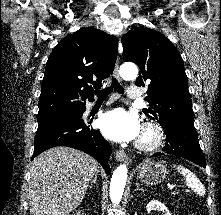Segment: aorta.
<instances>
[{
  "label": "aorta",
  "instance_id": "aorta-1",
  "mask_svg": "<svg viewBox=\"0 0 221 215\" xmlns=\"http://www.w3.org/2000/svg\"><path fill=\"white\" fill-rule=\"evenodd\" d=\"M120 76L125 80H134L138 76V68L133 63H125L120 67ZM128 169L125 164L120 165L113 172L110 183V198L113 204H118L124 192Z\"/></svg>",
  "mask_w": 221,
  "mask_h": 215
}]
</instances>
